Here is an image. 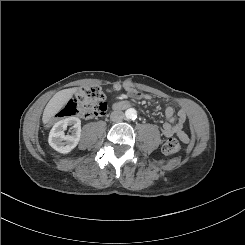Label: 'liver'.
<instances>
[{
  "label": "liver",
  "instance_id": "obj_1",
  "mask_svg": "<svg viewBox=\"0 0 245 245\" xmlns=\"http://www.w3.org/2000/svg\"><path fill=\"white\" fill-rule=\"evenodd\" d=\"M76 92V88H69L64 89L57 92L47 103L43 116L42 121L44 124L48 123L49 120L58 113L65 104L72 98L73 94Z\"/></svg>",
  "mask_w": 245,
  "mask_h": 245
}]
</instances>
